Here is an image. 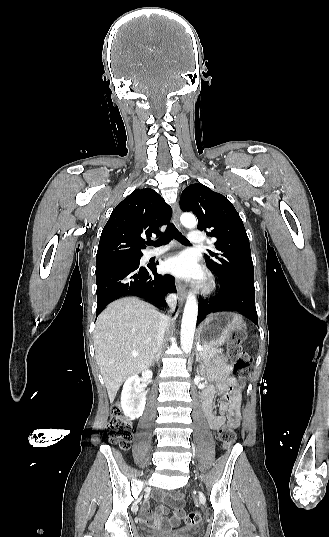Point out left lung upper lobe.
<instances>
[{"instance_id":"5c2ea615","label":"left lung upper lobe","mask_w":329,"mask_h":537,"mask_svg":"<svg viewBox=\"0 0 329 537\" xmlns=\"http://www.w3.org/2000/svg\"><path fill=\"white\" fill-rule=\"evenodd\" d=\"M184 211L193 212L198 229L215 237L216 251L205 254L207 266L222 283L254 282V267L245 227L233 204L203 184H192L181 195Z\"/></svg>"}]
</instances>
